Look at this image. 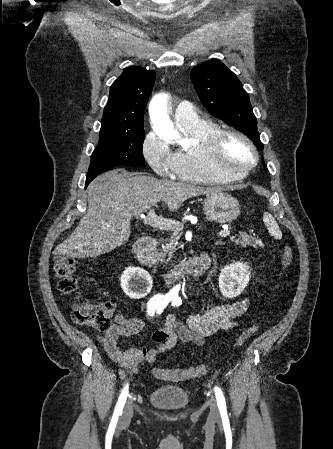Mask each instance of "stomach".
<instances>
[{
	"instance_id": "obj_1",
	"label": "stomach",
	"mask_w": 333,
	"mask_h": 449,
	"mask_svg": "<svg viewBox=\"0 0 333 449\" xmlns=\"http://www.w3.org/2000/svg\"><path fill=\"white\" fill-rule=\"evenodd\" d=\"M203 211L208 219L224 224L238 217L240 205L230 194L217 191L207 195L203 201Z\"/></svg>"
}]
</instances>
